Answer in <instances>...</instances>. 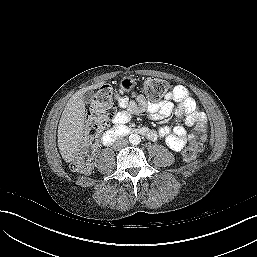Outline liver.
Segmentation results:
<instances>
[{
	"label": "liver",
	"instance_id": "liver-1",
	"mask_svg": "<svg viewBox=\"0 0 257 257\" xmlns=\"http://www.w3.org/2000/svg\"><path fill=\"white\" fill-rule=\"evenodd\" d=\"M105 82L93 84L77 91L66 104L58 125V147L65 162L74 160L84 134L85 102L83 94L97 89Z\"/></svg>",
	"mask_w": 257,
	"mask_h": 257
}]
</instances>
